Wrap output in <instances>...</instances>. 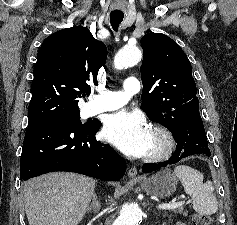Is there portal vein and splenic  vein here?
<instances>
[{"instance_id":"obj_1","label":"portal vein and splenic vein","mask_w":237,"mask_h":225,"mask_svg":"<svg viewBox=\"0 0 237 225\" xmlns=\"http://www.w3.org/2000/svg\"><path fill=\"white\" fill-rule=\"evenodd\" d=\"M183 204H184L183 201L173 202V203H168V204H161V205H158V209L171 210V209L180 208Z\"/></svg>"}]
</instances>
